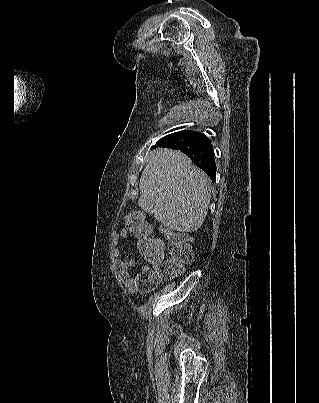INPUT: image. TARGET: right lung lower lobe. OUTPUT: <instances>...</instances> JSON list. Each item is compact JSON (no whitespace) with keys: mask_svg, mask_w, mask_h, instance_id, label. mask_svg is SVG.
Instances as JSON below:
<instances>
[{"mask_svg":"<svg viewBox=\"0 0 319 403\" xmlns=\"http://www.w3.org/2000/svg\"><path fill=\"white\" fill-rule=\"evenodd\" d=\"M158 147H167L185 153L193 163L214 181L216 165L211 141L201 132L184 130L167 135L157 141Z\"/></svg>","mask_w":319,"mask_h":403,"instance_id":"right-lung-lower-lobe-1","label":"right lung lower lobe"}]
</instances>
